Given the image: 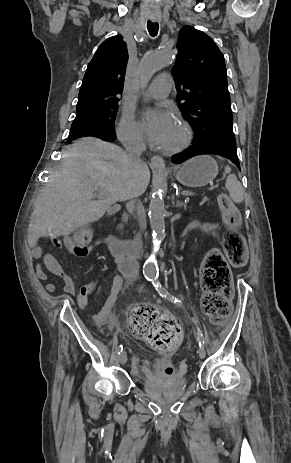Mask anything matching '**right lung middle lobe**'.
Returning <instances> with one entry per match:
<instances>
[{"instance_id":"dd1d6c3e","label":"right lung middle lobe","mask_w":291,"mask_h":463,"mask_svg":"<svg viewBox=\"0 0 291 463\" xmlns=\"http://www.w3.org/2000/svg\"><path fill=\"white\" fill-rule=\"evenodd\" d=\"M118 103L107 105L93 112L77 116L71 126L67 142L86 136H108L115 134Z\"/></svg>"}]
</instances>
